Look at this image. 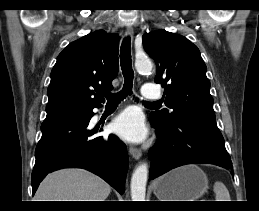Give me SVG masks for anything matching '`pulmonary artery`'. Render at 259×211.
<instances>
[{
	"mask_svg": "<svg viewBox=\"0 0 259 211\" xmlns=\"http://www.w3.org/2000/svg\"><path fill=\"white\" fill-rule=\"evenodd\" d=\"M142 95L145 99L156 100L161 97V92L156 85L145 83L142 87Z\"/></svg>",
	"mask_w": 259,
	"mask_h": 211,
	"instance_id": "pulmonary-artery-1",
	"label": "pulmonary artery"
}]
</instances>
